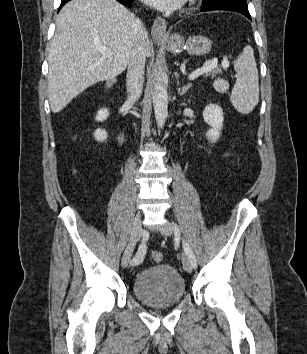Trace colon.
<instances>
[{"mask_svg": "<svg viewBox=\"0 0 307 354\" xmlns=\"http://www.w3.org/2000/svg\"><path fill=\"white\" fill-rule=\"evenodd\" d=\"M151 258L154 262H160V261H162L163 255H162V253H160L158 251H154L151 254Z\"/></svg>", "mask_w": 307, "mask_h": 354, "instance_id": "obj_1", "label": "colon"}]
</instances>
